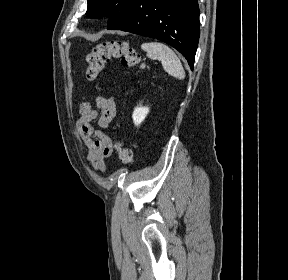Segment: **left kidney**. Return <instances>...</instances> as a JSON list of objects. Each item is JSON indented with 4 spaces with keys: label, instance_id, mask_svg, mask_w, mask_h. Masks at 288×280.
<instances>
[{
    "label": "left kidney",
    "instance_id": "5707ae66",
    "mask_svg": "<svg viewBox=\"0 0 288 280\" xmlns=\"http://www.w3.org/2000/svg\"><path fill=\"white\" fill-rule=\"evenodd\" d=\"M148 113H149L148 107L143 106L136 107L132 114L134 124L136 126H139L144 121Z\"/></svg>",
    "mask_w": 288,
    "mask_h": 280
}]
</instances>
